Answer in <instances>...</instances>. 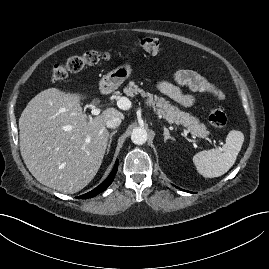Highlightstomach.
<instances>
[{
    "mask_svg": "<svg viewBox=\"0 0 269 269\" xmlns=\"http://www.w3.org/2000/svg\"><path fill=\"white\" fill-rule=\"evenodd\" d=\"M132 74L130 63H124L116 69L110 71L102 77L99 83L100 90L103 93H110L116 90Z\"/></svg>",
    "mask_w": 269,
    "mask_h": 269,
    "instance_id": "0dacf381",
    "label": "stomach"
}]
</instances>
